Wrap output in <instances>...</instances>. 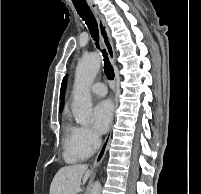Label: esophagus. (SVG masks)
Listing matches in <instances>:
<instances>
[{"label": "esophagus", "instance_id": "1", "mask_svg": "<svg viewBox=\"0 0 201 194\" xmlns=\"http://www.w3.org/2000/svg\"><path fill=\"white\" fill-rule=\"evenodd\" d=\"M89 6L92 9V11L94 12L95 17L97 19L101 42L108 53L111 63L115 67L116 66V54H115V49H114L112 39H111L109 31H108L106 21L94 3L89 2ZM118 81H119V75L116 71V73H115V83H116L115 93H116V95L118 92ZM116 106H117V100H115V108H116ZM111 130H112V125L110 127V130H109L107 136L105 137V140H104L97 156L95 157V160L93 162L94 167L98 166L105 157V154L107 152V149H108L109 143H110V139H111Z\"/></svg>", "mask_w": 201, "mask_h": 194}]
</instances>
